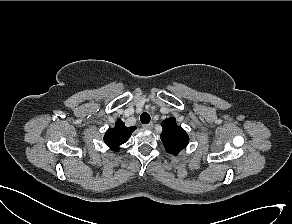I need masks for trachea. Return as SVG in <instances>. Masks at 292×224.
<instances>
[{
    "instance_id": "3493384b",
    "label": "trachea",
    "mask_w": 292,
    "mask_h": 224,
    "mask_svg": "<svg viewBox=\"0 0 292 224\" xmlns=\"http://www.w3.org/2000/svg\"><path fill=\"white\" fill-rule=\"evenodd\" d=\"M150 120H151V117H150V115L148 113L144 112V113L141 114L140 121L142 123L147 124V123L150 122Z\"/></svg>"
}]
</instances>
